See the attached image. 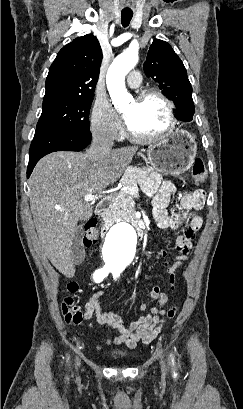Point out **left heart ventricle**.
<instances>
[{"label": "left heart ventricle", "instance_id": "left-heart-ventricle-1", "mask_svg": "<svg viewBox=\"0 0 243 409\" xmlns=\"http://www.w3.org/2000/svg\"><path fill=\"white\" fill-rule=\"evenodd\" d=\"M123 115L129 128L139 135L158 133L168 125L164 104L153 97L140 102L133 99Z\"/></svg>", "mask_w": 243, "mask_h": 409}]
</instances>
